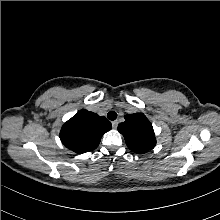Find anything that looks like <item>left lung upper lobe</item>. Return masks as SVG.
I'll list each match as a JSON object with an SVG mask.
<instances>
[{"mask_svg":"<svg viewBox=\"0 0 220 220\" xmlns=\"http://www.w3.org/2000/svg\"><path fill=\"white\" fill-rule=\"evenodd\" d=\"M118 131L124 136L130 150L142 154L156 145L153 126L143 113L127 114Z\"/></svg>","mask_w":220,"mask_h":220,"instance_id":"5c2ea615","label":"left lung upper lobe"}]
</instances>
